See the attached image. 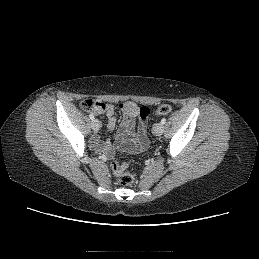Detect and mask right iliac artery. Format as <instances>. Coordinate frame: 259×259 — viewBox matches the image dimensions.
Wrapping results in <instances>:
<instances>
[{"mask_svg": "<svg viewBox=\"0 0 259 259\" xmlns=\"http://www.w3.org/2000/svg\"><path fill=\"white\" fill-rule=\"evenodd\" d=\"M89 117H90L91 120H94V115L93 114H90Z\"/></svg>", "mask_w": 259, "mask_h": 259, "instance_id": "right-iliac-artery-1", "label": "right iliac artery"}]
</instances>
